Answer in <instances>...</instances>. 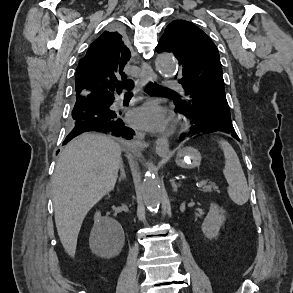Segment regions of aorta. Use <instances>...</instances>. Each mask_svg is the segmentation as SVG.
<instances>
[{"mask_svg":"<svg viewBox=\"0 0 293 293\" xmlns=\"http://www.w3.org/2000/svg\"><path fill=\"white\" fill-rule=\"evenodd\" d=\"M157 69L161 75L171 77L176 71V61L169 53L159 54L156 58ZM142 198L150 210L158 209L162 192L159 180L153 173L147 171L142 183Z\"/></svg>","mask_w":293,"mask_h":293,"instance_id":"aorta-1","label":"aorta"}]
</instances>
